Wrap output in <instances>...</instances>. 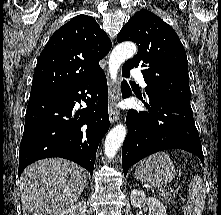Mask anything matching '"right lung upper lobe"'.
Listing matches in <instances>:
<instances>
[{"label":"right lung upper lobe","mask_w":221,"mask_h":215,"mask_svg":"<svg viewBox=\"0 0 221 215\" xmlns=\"http://www.w3.org/2000/svg\"><path fill=\"white\" fill-rule=\"evenodd\" d=\"M111 41L95 19L78 15L59 28L41 52L33 76L30 99L70 88L100 70L99 61Z\"/></svg>","instance_id":"obj_1"}]
</instances>
